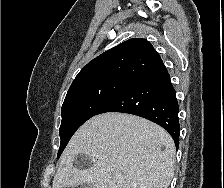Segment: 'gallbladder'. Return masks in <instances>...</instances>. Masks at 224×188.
<instances>
[{"mask_svg": "<svg viewBox=\"0 0 224 188\" xmlns=\"http://www.w3.org/2000/svg\"><path fill=\"white\" fill-rule=\"evenodd\" d=\"M80 188H92V187L89 182H84V184H82Z\"/></svg>", "mask_w": 224, "mask_h": 188, "instance_id": "1", "label": "gallbladder"}]
</instances>
